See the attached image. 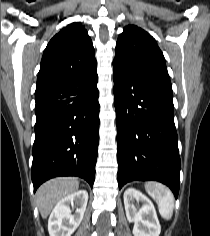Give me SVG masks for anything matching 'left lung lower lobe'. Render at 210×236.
I'll return each mask as SVG.
<instances>
[{
  "label": "left lung lower lobe",
  "instance_id": "left-lung-lower-lobe-1",
  "mask_svg": "<svg viewBox=\"0 0 210 236\" xmlns=\"http://www.w3.org/2000/svg\"><path fill=\"white\" fill-rule=\"evenodd\" d=\"M118 185L156 180L179 192L180 157L171 82L114 68Z\"/></svg>",
  "mask_w": 210,
  "mask_h": 236
}]
</instances>
